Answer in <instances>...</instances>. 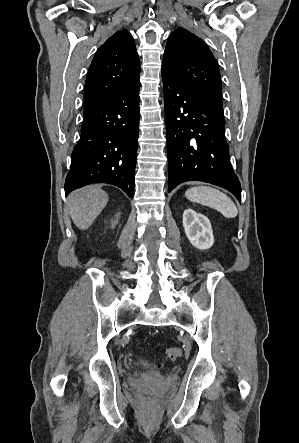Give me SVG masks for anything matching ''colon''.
I'll use <instances>...</instances> for the list:
<instances>
[{
	"mask_svg": "<svg viewBox=\"0 0 299 443\" xmlns=\"http://www.w3.org/2000/svg\"><path fill=\"white\" fill-rule=\"evenodd\" d=\"M182 355L181 349L179 347H171L166 351L165 359L176 360Z\"/></svg>",
	"mask_w": 299,
	"mask_h": 443,
	"instance_id": "5ec220e1",
	"label": "colon"
}]
</instances>
